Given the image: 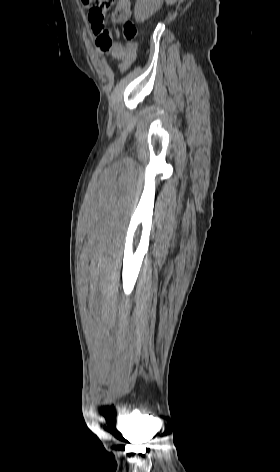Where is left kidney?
Returning <instances> with one entry per match:
<instances>
[{"instance_id":"obj_1","label":"left kidney","mask_w":280,"mask_h":472,"mask_svg":"<svg viewBox=\"0 0 280 472\" xmlns=\"http://www.w3.org/2000/svg\"><path fill=\"white\" fill-rule=\"evenodd\" d=\"M160 0H137L134 15L138 22H144L160 7Z\"/></svg>"}]
</instances>
